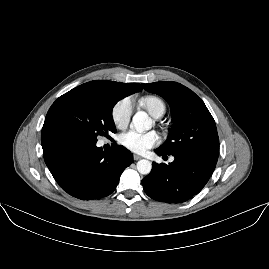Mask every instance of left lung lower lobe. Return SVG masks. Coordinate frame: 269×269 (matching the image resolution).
Returning a JSON list of instances; mask_svg holds the SVG:
<instances>
[{"label": "left lung lower lobe", "mask_w": 269, "mask_h": 269, "mask_svg": "<svg viewBox=\"0 0 269 269\" xmlns=\"http://www.w3.org/2000/svg\"><path fill=\"white\" fill-rule=\"evenodd\" d=\"M155 152L158 155H173L175 158L169 165L153 163L152 171L142 180L146 194L160 202L181 203L192 198L208 182L216 166L210 160L167 153L160 148Z\"/></svg>", "instance_id": "left-lung-lower-lobe-1"}]
</instances>
